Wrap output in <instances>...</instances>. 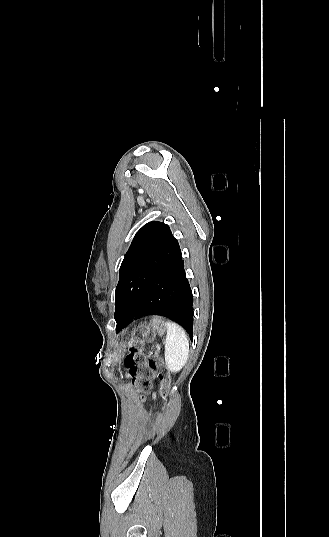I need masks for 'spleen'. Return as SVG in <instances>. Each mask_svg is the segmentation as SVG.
<instances>
[{"mask_svg":"<svg viewBox=\"0 0 329 537\" xmlns=\"http://www.w3.org/2000/svg\"><path fill=\"white\" fill-rule=\"evenodd\" d=\"M189 356V341L185 331L174 322H167L165 341V361L172 372H178L185 365Z\"/></svg>","mask_w":329,"mask_h":537,"instance_id":"obj_1","label":"spleen"}]
</instances>
